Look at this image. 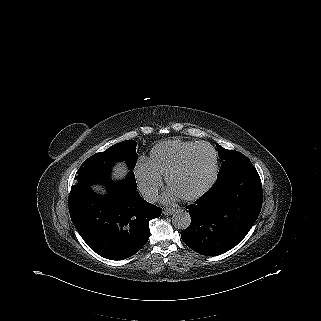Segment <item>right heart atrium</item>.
<instances>
[{
  "label": "right heart atrium",
  "instance_id": "1",
  "mask_svg": "<svg viewBox=\"0 0 321 321\" xmlns=\"http://www.w3.org/2000/svg\"><path fill=\"white\" fill-rule=\"evenodd\" d=\"M134 176L146 198L152 200L158 195L162 178L153 171L147 159H139L136 162Z\"/></svg>",
  "mask_w": 321,
  "mask_h": 321
}]
</instances>
